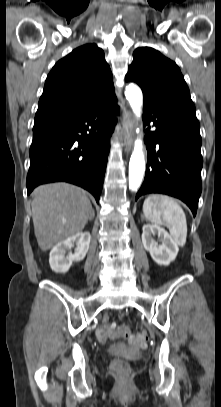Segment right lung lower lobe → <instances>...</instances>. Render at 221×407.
I'll return each instance as SVG.
<instances>
[{
  "instance_id": "obj_1",
  "label": "right lung lower lobe",
  "mask_w": 221,
  "mask_h": 407,
  "mask_svg": "<svg viewBox=\"0 0 221 407\" xmlns=\"http://www.w3.org/2000/svg\"><path fill=\"white\" fill-rule=\"evenodd\" d=\"M116 97L82 113L33 127L27 193L40 184L65 181L99 201L116 123Z\"/></svg>"
}]
</instances>
